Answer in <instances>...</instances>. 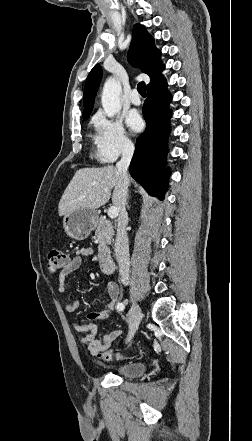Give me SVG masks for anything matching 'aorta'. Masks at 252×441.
Instances as JSON below:
<instances>
[{
  "instance_id": "aorta-1",
  "label": "aorta",
  "mask_w": 252,
  "mask_h": 441,
  "mask_svg": "<svg viewBox=\"0 0 252 441\" xmlns=\"http://www.w3.org/2000/svg\"><path fill=\"white\" fill-rule=\"evenodd\" d=\"M121 91V85L114 77L108 78L104 83L101 102L106 116L113 117L121 111Z\"/></svg>"
}]
</instances>
